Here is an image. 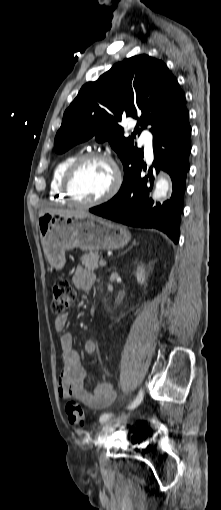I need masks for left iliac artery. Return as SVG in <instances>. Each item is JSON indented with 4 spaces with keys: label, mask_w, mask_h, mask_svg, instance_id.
Instances as JSON below:
<instances>
[{
    "label": "left iliac artery",
    "mask_w": 221,
    "mask_h": 510,
    "mask_svg": "<svg viewBox=\"0 0 221 510\" xmlns=\"http://www.w3.org/2000/svg\"><path fill=\"white\" fill-rule=\"evenodd\" d=\"M144 393L143 391L139 392L136 398L128 405L127 409L132 410L135 409L143 400ZM112 413H104L100 416V422L104 423L110 418H112Z\"/></svg>",
    "instance_id": "left-iliac-artery-1"
}]
</instances>
